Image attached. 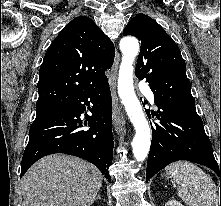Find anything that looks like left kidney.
<instances>
[{
	"label": "left kidney",
	"instance_id": "obj_1",
	"mask_svg": "<svg viewBox=\"0 0 221 206\" xmlns=\"http://www.w3.org/2000/svg\"><path fill=\"white\" fill-rule=\"evenodd\" d=\"M165 206H183L179 201L169 200Z\"/></svg>",
	"mask_w": 221,
	"mask_h": 206
}]
</instances>
